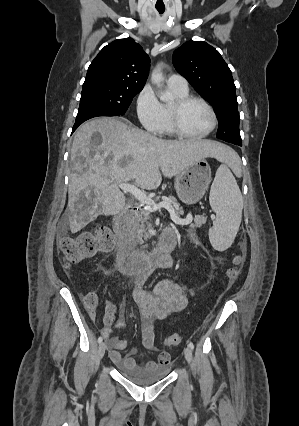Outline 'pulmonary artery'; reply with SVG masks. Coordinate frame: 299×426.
Masks as SVG:
<instances>
[{
	"mask_svg": "<svg viewBox=\"0 0 299 426\" xmlns=\"http://www.w3.org/2000/svg\"><path fill=\"white\" fill-rule=\"evenodd\" d=\"M167 84L169 87L180 90V91L188 90V83L186 79L179 74L169 75L167 79Z\"/></svg>",
	"mask_w": 299,
	"mask_h": 426,
	"instance_id": "1",
	"label": "pulmonary artery"
}]
</instances>
